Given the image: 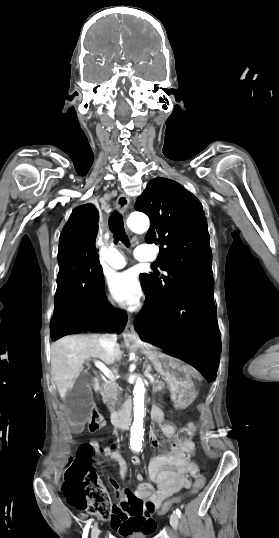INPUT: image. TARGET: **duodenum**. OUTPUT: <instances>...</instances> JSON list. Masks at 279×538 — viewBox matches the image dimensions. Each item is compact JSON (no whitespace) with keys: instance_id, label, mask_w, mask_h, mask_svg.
<instances>
[{"instance_id":"1","label":"duodenum","mask_w":279,"mask_h":538,"mask_svg":"<svg viewBox=\"0 0 279 538\" xmlns=\"http://www.w3.org/2000/svg\"><path fill=\"white\" fill-rule=\"evenodd\" d=\"M92 381L96 388L102 387L103 378L101 375H94ZM126 402L127 403L123 404V409H120L121 417H119V413L117 412L111 413V419H108V422L112 423V428L121 429L123 427L124 429H130L132 427V424L129 422V418L132 414L134 401L131 397H128ZM160 409L161 406L156 404L154 409H152V414H160Z\"/></svg>"}]
</instances>
